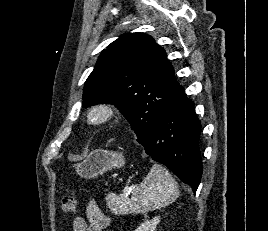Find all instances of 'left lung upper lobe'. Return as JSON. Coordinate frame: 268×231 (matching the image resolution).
<instances>
[{
    "label": "left lung upper lobe",
    "instance_id": "5c2ea615",
    "mask_svg": "<svg viewBox=\"0 0 268 231\" xmlns=\"http://www.w3.org/2000/svg\"><path fill=\"white\" fill-rule=\"evenodd\" d=\"M183 87L165 51L143 33H127L107 46L85 82L83 107L110 103L146 135Z\"/></svg>",
    "mask_w": 268,
    "mask_h": 231
}]
</instances>
